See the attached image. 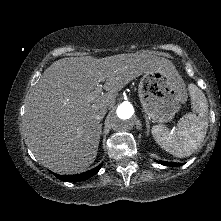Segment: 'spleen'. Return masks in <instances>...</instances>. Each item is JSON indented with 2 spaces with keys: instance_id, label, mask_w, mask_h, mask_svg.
Masks as SVG:
<instances>
[{
  "instance_id": "3e777b00",
  "label": "spleen",
  "mask_w": 221,
  "mask_h": 221,
  "mask_svg": "<svg viewBox=\"0 0 221 221\" xmlns=\"http://www.w3.org/2000/svg\"><path fill=\"white\" fill-rule=\"evenodd\" d=\"M188 90L194 113L180 118L175 129L169 130L163 125L152 128L157 144L178 158L190 156L204 140L208 128V102L204 93L194 84H189Z\"/></svg>"
}]
</instances>
